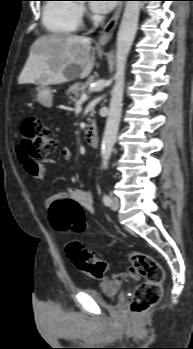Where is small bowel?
I'll return each mask as SVG.
<instances>
[{
    "label": "small bowel",
    "instance_id": "obj_1",
    "mask_svg": "<svg viewBox=\"0 0 193 349\" xmlns=\"http://www.w3.org/2000/svg\"><path fill=\"white\" fill-rule=\"evenodd\" d=\"M61 155L67 162H69L72 159L71 150L67 146H64L62 148ZM18 158L30 175L37 179H43L44 174L38 166L35 170L29 169V160L27 159V157L24 156L20 147H18ZM49 163H55V161L50 160ZM57 200H72L78 203L88 213H94L93 196L90 190L88 189L78 187L66 188L65 190L55 195L49 196L45 200V204L46 206H51L52 203H54ZM137 277L138 273L132 266H130L126 271L116 273L111 277L105 276L104 278L100 279V286L106 292L113 293L118 290V288L125 280L130 278L135 279Z\"/></svg>",
    "mask_w": 193,
    "mask_h": 349
}]
</instances>
